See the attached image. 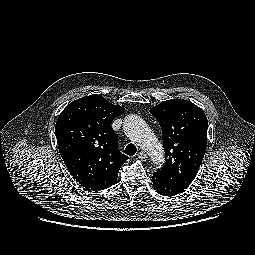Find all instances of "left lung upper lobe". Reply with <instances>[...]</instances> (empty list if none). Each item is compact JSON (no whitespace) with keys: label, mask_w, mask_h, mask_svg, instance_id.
I'll return each mask as SVG.
<instances>
[{"label":"left lung upper lobe","mask_w":255,"mask_h":255,"mask_svg":"<svg viewBox=\"0 0 255 255\" xmlns=\"http://www.w3.org/2000/svg\"><path fill=\"white\" fill-rule=\"evenodd\" d=\"M150 112L161 126L166 159L155 174L184 190L195 178L206 151V115L183 99L163 101Z\"/></svg>","instance_id":"left-lung-upper-lobe-1"}]
</instances>
